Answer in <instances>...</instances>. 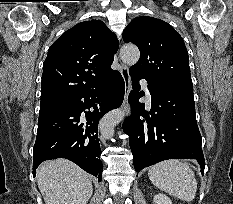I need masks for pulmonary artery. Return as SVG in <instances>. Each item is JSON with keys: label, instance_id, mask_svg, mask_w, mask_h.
Segmentation results:
<instances>
[{"label": "pulmonary artery", "instance_id": "e3ab8cb5", "mask_svg": "<svg viewBox=\"0 0 233 204\" xmlns=\"http://www.w3.org/2000/svg\"><path fill=\"white\" fill-rule=\"evenodd\" d=\"M141 84L143 85L144 89L146 90L147 96L150 97L149 90L147 88V82L145 80H141Z\"/></svg>", "mask_w": 233, "mask_h": 204}]
</instances>
